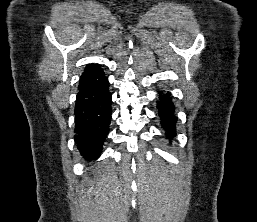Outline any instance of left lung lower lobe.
Returning a JSON list of instances; mask_svg holds the SVG:
<instances>
[{
	"mask_svg": "<svg viewBox=\"0 0 257 222\" xmlns=\"http://www.w3.org/2000/svg\"><path fill=\"white\" fill-rule=\"evenodd\" d=\"M159 101L157 104L158 115L161 120V125L164 130L167 132V136L171 139L176 134V120L174 116V106L172 103V98L170 93L163 94L162 91L159 92Z\"/></svg>",
	"mask_w": 257,
	"mask_h": 222,
	"instance_id": "left-lung-lower-lobe-1",
	"label": "left lung lower lobe"
}]
</instances>
